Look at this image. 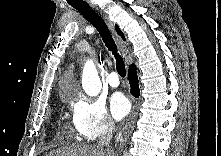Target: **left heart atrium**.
<instances>
[{"label": "left heart atrium", "instance_id": "1", "mask_svg": "<svg viewBox=\"0 0 221 156\" xmlns=\"http://www.w3.org/2000/svg\"><path fill=\"white\" fill-rule=\"evenodd\" d=\"M110 110L117 120L126 116L130 110V103L122 93H115L110 99Z\"/></svg>", "mask_w": 221, "mask_h": 156}]
</instances>
